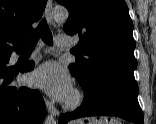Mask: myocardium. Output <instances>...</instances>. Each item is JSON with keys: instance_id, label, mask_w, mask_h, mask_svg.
Returning a JSON list of instances; mask_svg holds the SVG:
<instances>
[{"instance_id": "myocardium-1", "label": "myocardium", "mask_w": 156, "mask_h": 124, "mask_svg": "<svg viewBox=\"0 0 156 124\" xmlns=\"http://www.w3.org/2000/svg\"><path fill=\"white\" fill-rule=\"evenodd\" d=\"M85 100L83 91L79 88H74L70 97L65 101L64 108L69 111H74L82 106Z\"/></svg>"}]
</instances>
